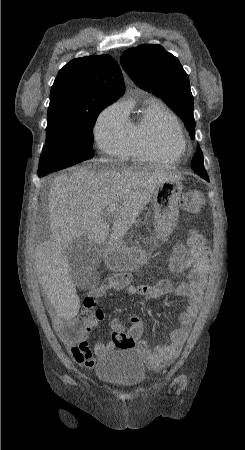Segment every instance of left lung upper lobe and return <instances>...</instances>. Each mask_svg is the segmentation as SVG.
<instances>
[{
	"label": "left lung upper lobe",
	"mask_w": 245,
	"mask_h": 450,
	"mask_svg": "<svg viewBox=\"0 0 245 450\" xmlns=\"http://www.w3.org/2000/svg\"><path fill=\"white\" fill-rule=\"evenodd\" d=\"M120 63L141 89L163 98L172 107L194 139L193 96L188 75L178 59L162 46L150 44L126 50ZM191 166L198 175H207L200 149L193 157Z\"/></svg>",
	"instance_id": "left-lung-upper-lobe-1"
}]
</instances>
